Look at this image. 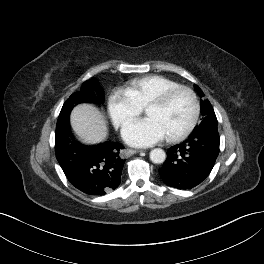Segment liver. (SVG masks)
Instances as JSON below:
<instances>
[{
	"instance_id": "1",
	"label": "liver",
	"mask_w": 264,
	"mask_h": 264,
	"mask_svg": "<svg viewBox=\"0 0 264 264\" xmlns=\"http://www.w3.org/2000/svg\"><path fill=\"white\" fill-rule=\"evenodd\" d=\"M70 123L75 133L85 143H99L108 133L104 115L90 104H80L70 115Z\"/></svg>"
}]
</instances>
